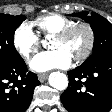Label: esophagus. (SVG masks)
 Here are the masks:
<instances>
[{
	"label": "esophagus",
	"instance_id": "34e87169",
	"mask_svg": "<svg viewBox=\"0 0 112 112\" xmlns=\"http://www.w3.org/2000/svg\"><path fill=\"white\" fill-rule=\"evenodd\" d=\"M47 74L46 73H43V74H39L38 75V80L40 81V82H44L46 79H47Z\"/></svg>",
	"mask_w": 112,
	"mask_h": 112
}]
</instances>
